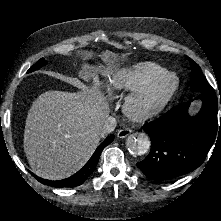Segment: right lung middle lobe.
<instances>
[{
	"mask_svg": "<svg viewBox=\"0 0 221 221\" xmlns=\"http://www.w3.org/2000/svg\"><path fill=\"white\" fill-rule=\"evenodd\" d=\"M47 62L45 61L44 58L40 59L36 64H34L29 70L28 72H33L37 69H39L40 67L44 66Z\"/></svg>",
	"mask_w": 221,
	"mask_h": 221,
	"instance_id": "right-lung-middle-lobe-1",
	"label": "right lung middle lobe"
}]
</instances>
